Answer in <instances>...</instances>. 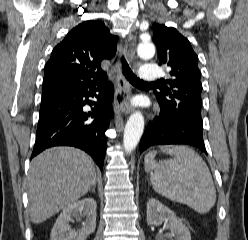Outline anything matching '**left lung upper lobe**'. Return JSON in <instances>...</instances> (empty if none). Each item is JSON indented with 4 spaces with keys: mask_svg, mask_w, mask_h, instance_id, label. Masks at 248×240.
<instances>
[{
    "mask_svg": "<svg viewBox=\"0 0 248 240\" xmlns=\"http://www.w3.org/2000/svg\"><path fill=\"white\" fill-rule=\"evenodd\" d=\"M153 42L157 46L161 64L171 67V79L164 80L155 91L161 111L176 117H201L202 84L198 56L190 42L175 28L163 24L153 25Z\"/></svg>",
    "mask_w": 248,
    "mask_h": 240,
    "instance_id": "left-lung-upper-lobe-1",
    "label": "left lung upper lobe"
}]
</instances>
